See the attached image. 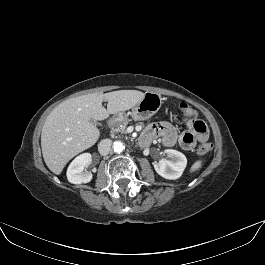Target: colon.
<instances>
[{"mask_svg":"<svg viewBox=\"0 0 265 265\" xmlns=\"http://www.w3.org/2000/svg\"><path fill=\"white\" fill-rule=\"evenodd\" d=\"M180 109L185 119H196V115H197L196 111L192 107H190L188 104L182 103L180 105ZM211 147L212 146L210 143L205 142L199 146L198 153L205 154L210 151Z\"/></svg>","mask_w":265,"mask_h":265,"instance_id":"5ec220e1","label":"colon"}]
</instances>
